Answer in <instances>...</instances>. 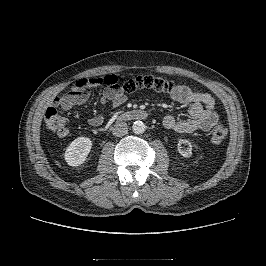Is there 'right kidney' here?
<instances>
[{
  "mask_svg": "<svg viewBox=\"0 0 266 266\" xmlns=\"http://www.w3.org/2000/svg\"><path fill=\"white\" fill-rule=\"evenodd\" d=\"M92 141L87 137H78L67 147L64 158L69 166L76 167L84 163L90 150Z\"/></svg>",
  "mask_w": 266,
  "mask_h": 266,
  "instance_id": "1",
  "label": "right kidney"
}]
</instances>
